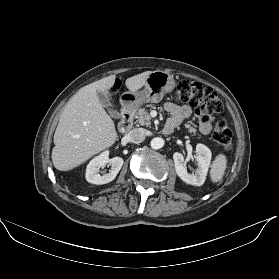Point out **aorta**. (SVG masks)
<instances>
[{
    "label": "aorta",
    "instance_id": "obj_1",
    "mask_svg": "<svg viewBox=\"0 0 279 279\" xmlns=\"http://www.w3.org/2000/svg\"><path fill=\"white\" fill-rule=\"evenodd\" d=\"M151 148L158 150L164 146V140L160 137H155L150 142Z\"/></svg>",
    "mask_w": 279,
    "mask_h": 279
}]
</instances>
